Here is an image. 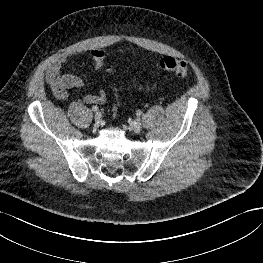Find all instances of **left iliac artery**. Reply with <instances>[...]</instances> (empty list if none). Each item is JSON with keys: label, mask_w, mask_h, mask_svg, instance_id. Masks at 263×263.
Instances as JSON below:
<instances>
[{"label": "left iliac artery", "mask_w": 263, "mask_h": 263, "mask_svg": "<svg viewBox=\"0 0 263 263\" xmlns=\"http://www.w3.org/2000/svg\"><path fill=\"white\" fill-rule=\"evenodd\" d=\"M136 115L137 116H141L142 115V112L140 110L136 111Z\"/></svg>", "instance_id": "1"}]
</instances>
